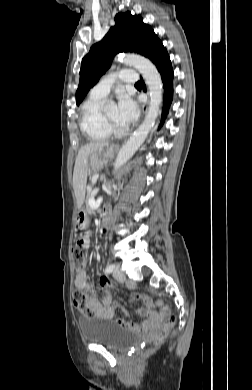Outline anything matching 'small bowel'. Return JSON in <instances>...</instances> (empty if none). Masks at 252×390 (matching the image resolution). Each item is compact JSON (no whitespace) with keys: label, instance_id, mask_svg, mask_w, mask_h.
<instances>
[{"label":"small bowel","instance_id":"small-bowel-1","mask_svg":"<svg viewBox=\"0 0 252 390\" xmlns=\"http://www.w3.org/2000/svg\"><path fill=\"white\" fill-rule=\"evenodd\" d=\"M79 240L83 241V247H89V235H84ZM74 286L77 289L87 290L89 292V305L94 311L95 317L105 320H113L121 327L131 329L146 337L153 336L160 329L163 314L154 309V304L149 298L144 300L145 307L137 311V314L141 317L139 322L115 317V308L118 306L114 305L112 302V285L107 277H101L99 281L100 289L104 292L102 300H100L93 292L88 275L85 271L76 274ZM135 300V298H132L131 302H134ZM157 305L161 306L162 303L158 302ZM120 309L125 315L129 314L127 310L123 308Z\"/></svg>","mask_w":252,"mask_h":390}]
</instances>
